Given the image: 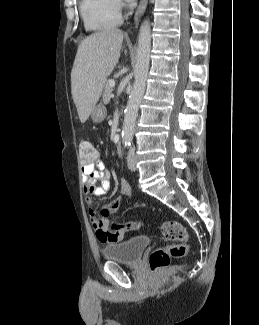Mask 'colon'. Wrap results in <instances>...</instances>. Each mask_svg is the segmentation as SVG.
Returning a JSON list of instances; mask_svg holds the SVG:
<instances>
[{"instance_id": "colon-1", "label": "colon", "mask_w": 259, "mask_h": 325, "mask_svg": "<svg viewBox=\"0 0 259 325\" xmlns=\"http://www.w3.org/2000/svg\"><path fill=\"white\" fill-rule=\"evenodd\" d=\"M78 156L80 162L89 163L96 156V149L88 140L80 142L78 147ZM119 202L106 207L102 215L106 216L110 211H117ZM140 227L138 222H126L113 224V230H137ZM161 233L167 239L172 241V244L155 249L149 257V265L151 270L156 271L170 263L172 258H180L188 252L189 235L186 228L175 220L166 221L161 226Z\"/></svg>"}]
</instances>
